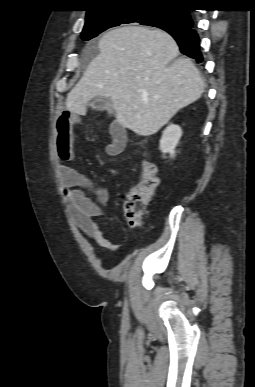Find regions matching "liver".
Returning <instances> with one entry per match:
<instances>
[{
  "mask_svg": "<svg viewBox=\"0 0 255 387\" xmlns=\"http://www.w3.org/2000/svg\"><path fill=\"white\" fill-rule=\"evenodd\" d=\"M100 53L68 93L66 107L86 114L94 97L110 99L116 121L140 136L157 133L182 108L197 101L202 77L165 31L126 26L105 33Z\"/></svg>",
  "mask_w": 255,
  "mask_h": 387,
  "instance_id": "liver-1",
  "label": "liver"
}]
</instances>
